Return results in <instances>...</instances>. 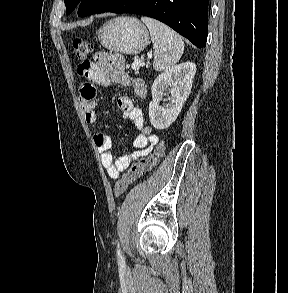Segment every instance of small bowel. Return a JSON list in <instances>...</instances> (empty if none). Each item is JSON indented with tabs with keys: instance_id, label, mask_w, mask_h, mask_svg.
I'll return each mask as SVG.
<instances>
[{
	"instance_id": "small-bowel-1",
	"label": "small bowel",
	"mask_w": 288,
	"mask_h": 293,
	"mask_svg": "<svg viewBox=\"0 0 288 293\" xmlns=\"http://www.w3.org/2000/svg\"><path fill=\"white\" fill-rule=\"evenodd\" d=\"M78 73L89 80L80 88V104L84 119L89 124H94L97 121L95 85L130 87L139 99H144L147 95L144 81L139 78H131L125 72V60L119 54L100 52L96 54L95 61L82 62L78 66ZM117 105L123 117L133 123L138 134L133 140L135 150L122 156L113 154L112 140L106 133L97 131L94 134L93 138L100 154L102 166L111 179L118 178L120 172L124 171L131 163L148 155L158 142L157 135L152 133V127L145 124L142 111L134 105L129 97H119Z\"/></svg>"
}]
</instances>
